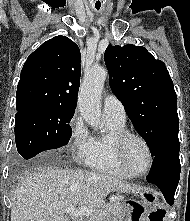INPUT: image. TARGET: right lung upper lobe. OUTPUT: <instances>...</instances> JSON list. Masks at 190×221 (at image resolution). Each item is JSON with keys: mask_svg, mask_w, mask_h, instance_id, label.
Returning a JSON list of instances; mask_svg holds the SVG:
<instances>
[{"mask_svg": "<svg viewBox=\"0 0 190 221\" xmlns=\"http://www.w3.org/2000/svg\"><path fill=\"white\" fill-rule=\"evenodd\" d=\"M76 43L66 36L44 42L27 58L17 88L18 112L33 107L74 110L81 75Z\"/></svg>", "mask_w": 190, "mask_h": 221, "instance_id": "cb5924a9", "label": "right lung upper lobe"}]
</instances>
